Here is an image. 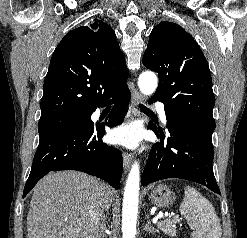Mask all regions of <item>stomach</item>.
<instances>
[{"label":"stomach","mask_w":247,"mask_h":238,"mask_svg":"<svg viewBox=\"0 0 247 238\" xmlns=\"http://www.w3.org/2000/svg\"><path fill=\"white\" fill-rule=\"evenodd\" d=\"M149 198L154 205L160 208L169 207L174 201L172 190L164 184H159L154 187Z\"/></svg>","instance_id":"0dacf381"}]
</instances>
